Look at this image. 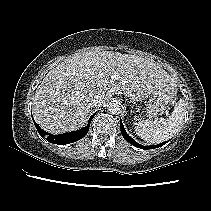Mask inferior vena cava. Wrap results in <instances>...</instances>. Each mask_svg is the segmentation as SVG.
<instances>
[{"mask_svg":"<svg viewBox=\"0 0 211 211\" xmlns=\"http://www.w3.org/2000/svg\"><path fill=\"white\" fill-rule=\"evenodd\" d=\"M103 102H104V100H103V98H102L101 96L95 95V96L91 99L89 105H90L91 107H97V106H100Z\"/></svg>","mask_w":211,"mask_h":211,"instance_id":"obj_1","label":"inferior vena cava"}]
</instances>
